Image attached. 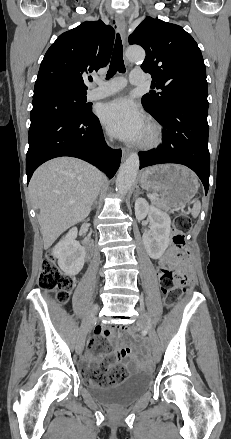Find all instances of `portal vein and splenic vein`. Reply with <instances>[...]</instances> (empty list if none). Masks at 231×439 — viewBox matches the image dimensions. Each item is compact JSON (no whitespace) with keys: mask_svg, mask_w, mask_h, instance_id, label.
I'll list each match as a JSON object with an SVG mask.
<instances>
[{"mask_svg":"<svg viewBox=\"0 0 231 439\" xmlns=\"http://www.w3.org/2000/svg\"><path fill=\"white\" fill-rule=\"evenodd\" d=\"M148 197H149L150 199H157V196H156V195H153V194L148 195Z\"/></svg>","mask_w":231,"mask_h":439,"instance_id":"obj_1","label":"portal vein and splenic vein"}]
</instances>
